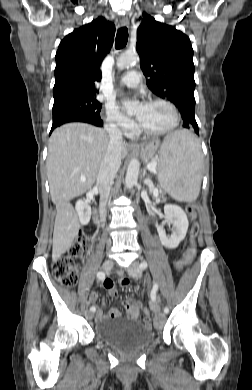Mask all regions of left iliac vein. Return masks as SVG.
I'll return each instance as SVG.
<instances>
[{
  "label": "left iliac vein",
  "mask_w": 252,
  "mask_h": 390,
  "mask_svg": "<svg viewBox=\"0 0 252 390\" xmlns=\"http://www.w3.org/2000/svg\"><path fill=\"white\" fill-rule=\"evenodd\" d=\"M128 274L133 278H140L142 276V271L139 269L137 264H133L130 268L127 269ZM156 314V319L161 321L164 319L165 314L161 311H159L157 308L154 309Z\"/></svg>",
  "instance_id": "4c4485c4"
}]
</instances>
